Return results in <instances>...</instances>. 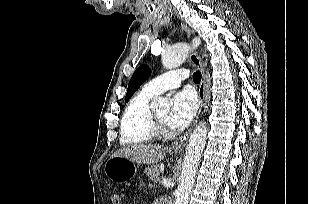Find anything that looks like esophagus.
I'll return each mask as SVG.
<instances>
[{
  "label": "esophagus",
  "mask_w": 309,
  "mask_h": 204,
  "mask_svg": "<svg viewBox=\"0 0 309 204\" xmlns=\"http://www.w3.org/2000/svg\"><path fill=\"white\" fill-rule=\"evenodd\" d=\"M182 29L186 32L187 37L190 38L191 36V31L190 29L187 27V25L182 24L181 25ZM190 60L191 62L201 71L202 74V79L199 85V97L201 100V106L204 105V101H205V89H206V76H205V68H204V64L200 58V56L197 54L196 51L192 50L190 53ZM192 128H190L185 134H183L182 136H180L179 138H177L171 145V148L173 150H182L188 139L190 136Z\"/></svg>",
  "instance_id": "1"
}]
</instances>
